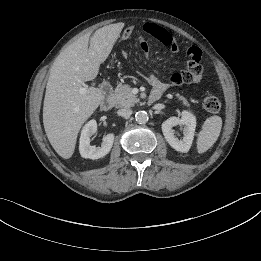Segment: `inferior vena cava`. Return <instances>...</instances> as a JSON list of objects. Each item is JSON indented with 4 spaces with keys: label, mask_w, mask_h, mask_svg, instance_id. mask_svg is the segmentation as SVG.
Here are the masks:
<instances>
[{
    "label": "inferior vena cava",
    "mask_w": 261,
    "mask_h": 261,
    "mask_svg": "<svg viewBox=\"0 0 261 261\" xmlns=\"http://www.w3.org/2000/svg\"><path fill=\"white\" fill-rule=\"evenodd\" d=\"M117 114L124 118H129L132 114V110L129 107H125V108L119 109L117 111Z\"/></svg>",
    "instance_id": "inferior-vena-cava-1"
}]
</instances>
